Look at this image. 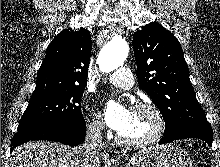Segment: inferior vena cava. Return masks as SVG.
I'll use <instances>...</instances> for the list:
<instances>
[{"label": "inferior vena cava", "mask_w": 220, "mask_h": 167, "mask_svg": "<svg viewBox=\"0 0 220 167\" xmlns=\"http://www.w3.org/2000/svg\"><path fill=\"white\" fill-rule=\"evenodd\" d=\"M103 122L96 121L87 127L86 137L82 144L81 154L85 162L97 158L102 151L104 144L102 141Z\"/></svg>", "instance_id": "inferior-vena-cava-1"}]
</instances>
